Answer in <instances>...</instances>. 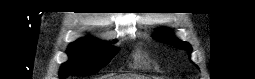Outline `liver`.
Returning a JSON list of instances; mask_svg holds the SVG:
<instances>
[{
    "label": "liver",
    "instance_id": "1",
    "mask_svg": "<svg viewBox=\"0 0 255 79\" xmlns=\"http://www.w3.org/2000/svg\"><path fill=\"white\" fill-rule=\"evenodd\" d=\"M108 79H141L140 76L137 75H123V76H115L114 78Z\"/></svg>",
    "mask_w": 255,
    "mask_h": 79
}]
</instances>
